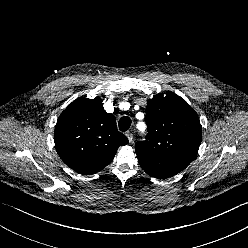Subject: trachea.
Wrapping results in <instances>:
<instances>
[{
  "instance_id": "3493384b",
  "label": "trachea",
  "mask_w": 248,
  "mask_h": 248,
  "mask_svg": "<svg viewBox=\"0 0 248 248\" xmlns=\"http://www.w3.org/2000/svg\"><path fill=\"white\" fill-rule=\"evenodd\" d=\"M131 126V119L128 116H123L119 120V130L122 132L127 131Z\"/></svg>"
}]
</instances>
